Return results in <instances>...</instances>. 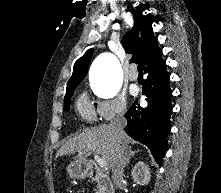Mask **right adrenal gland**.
Returning <instances> with one entry per match:
<instances>
[{
  "label": "right adrenal gland",
  "mask_w": 221,
  "mask_h": 193,
  "mask_svg": "<svg viewBox=\"0 0 221 193\" xmlns=\"http://www.w3.org/2000/svg\"><path fill=\"white\" fill-rule=\"evenodd\" d=\"M138 152L139 150L133 151L131 146L128 148V156L126 159L125 167L129 165L131 157L135 156Z\"/></svg>",
  "instance_id": "1"
}]
</instances>
